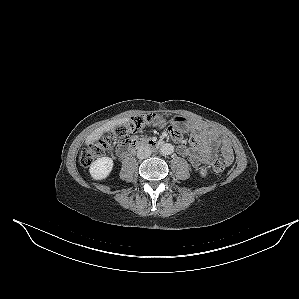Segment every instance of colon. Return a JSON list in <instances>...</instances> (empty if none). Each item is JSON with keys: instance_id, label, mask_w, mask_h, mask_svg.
Segmentation results:
<instances>
[{"instance_id": "5ec220e1", "label": "colon", "mask_w": 299, "mask_h": 299, "mask_svg": "<svg viewBox=\"0 0 299 299\" xmlns=\"http://www.w3.org/2000/svg\"><path fill=\"white\" fill-rule=\"evenodd\" d=\"M156 120L155 115L144 116L139 115L132 117L127 123L117 125L112 131L107 133L101 139L93 142L84 148L80 154V163L84 167L90 166L96 159L101 157L110 145L117 139H123L132 133L141 131L147 125ZM170 131H176L171 126ZM187 142L192 146H198L202 142V137L198 132L190 131L186 135ZM212 169L214 172L219 173L224 169V163L221 159L217 158L213 163Z\"/></svg>"}]
</instances>
